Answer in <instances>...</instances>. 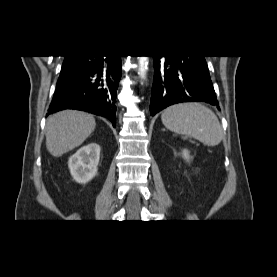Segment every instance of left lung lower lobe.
Here are the masks:
<instances>
[{
	"mask_svg": "<svg viewBox=\"0 0 277 277\" xmlns=\"http://www.w3.org/2000/svg\"><path fill=\"white\" fill-rule=\"evenodd\" d=\"M150 114L179 102L219 105L204 56H153Z\"/></svg>",
	"mask_w": 277,
	"mask_h": 277,
	"instance_id": "obj_1",
	"label": "left lung lower lobe"
}]
</instances>
